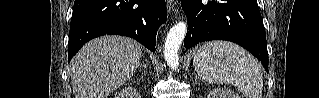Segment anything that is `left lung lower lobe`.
<instances>
[{"mask_svg":"<svg viewBox=\"0 0 319 98\" xmlns=\"http://www.w3.org/2000/svg\"><path fill=\"white\" fill-rule=\"evenodd\" d=\"M181 5L189 22L186 49L209 40L231 41L257 57L268 72L265 29L256 0H181Z\"/></svg>","mask_w":319,"mask_h":98,"instance_id":"obj_1","label":"left lung lower lobe"}]
</instances>
